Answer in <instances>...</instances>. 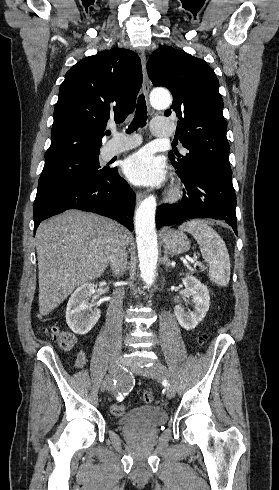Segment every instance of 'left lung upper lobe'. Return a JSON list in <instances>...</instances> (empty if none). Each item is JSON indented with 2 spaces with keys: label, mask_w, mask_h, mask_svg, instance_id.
I'll return each mask as SVG.
<instances>
[{
  "label": "left lung upper lobe",
  "mask_w": 279,
  "mask_h": 490,
  "mask_svg": "<svg viewBox=\"0 0 279 490\" xmlns=\"http://www.w3.org/2000/svg\"><path fill=\"white\" fill-rule=\"evenodd\" d=\"M147 71L154 86L167 87L173 95L176 136L189 151L185 156L169 152L177 173L209 166L232 174L223 100L214 71L204 60L168 46L152 53ZM170 114L171 110L165 112Z\"/></svg>",
  "instance_id": "left-lung-upper-lobe-1"
}]
</instances>
